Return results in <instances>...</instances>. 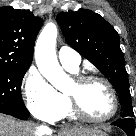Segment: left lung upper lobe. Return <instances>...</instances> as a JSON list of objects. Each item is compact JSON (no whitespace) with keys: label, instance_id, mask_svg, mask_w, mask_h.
I'll use <instances>...</instances> for the list:
<instances>
[{"label":"left lung upper lobe","instance_id":"1","mask_svg":"<svg viewBox=\"0 0 136 136\" xmlns=\"http://www.w3.org/2000/svg\"><path fill=\"white\" fill-rule=\"evenodd\" d=\"M68 44L93 63L119 94L121 118L133 117L128 75L116 30L99 14L87 9L57 15Z\"/></svg>","mask_w":136,"mask_h":136}]
</instances>
